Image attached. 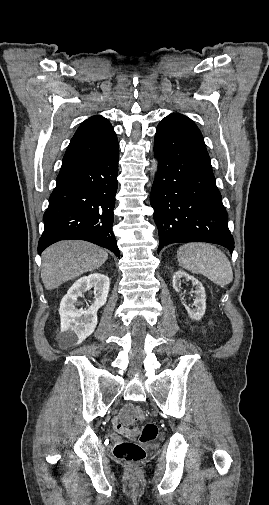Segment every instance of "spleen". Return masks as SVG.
<instances>
[{"instance_id": "spleen-1", "label": "spleen", "mask_w": 269, "mask_h": 505, "mask_svg": "<svg viewBox=\"0 0 269 505\" xmlns=\"http://www.w3.org/2000/svg\"><path fill=\"white\" fill-rule=\"evenodd\" d=\"M177 259L181 267L206 276L216 285L224 286L233 281L229 259L209 243H186L178 248Z\"/></svg>"}]
</instances>
